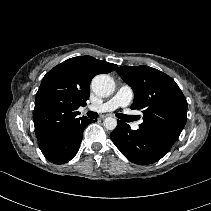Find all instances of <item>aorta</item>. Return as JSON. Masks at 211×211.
Segmentation results:
<instances>
[{
    "label": "aorta",
    "instance_id": "762f6f07",
    "mask_svg": "<svg viewBox=\"0 0 211 211\" xmlns=\"http://www.w3.org/2000/svg\"><path fill=\"white\" fill-rule=\"evenodd\" d=\"M93 92L100 97H108L115 90L114 80L106 74H100L93 78L91 82ZM108 130H114L117 126V120L113 117H108L103 122Z\"/></svg>",
    "mask_w": 211,
    "mask_h": 211
}]
</instances>
